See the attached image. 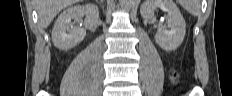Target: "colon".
Segmentation results:
<instances>
[{"instance_id": "obj_1", "label": "colon", "mask_w": 232, "mask_h": 96, "mask_svg": "<svg viewBox=\"0 0 232 96\" xmlns=\"http://www.w3.org/2000/svg\"><path fill=\"white\" fill-rule=\"evenodd\" d=\"M170 75L173 79L177 80V77H178V73L176 72V70L172 69L170 71Z\"/></svg>"}]
</instances>
